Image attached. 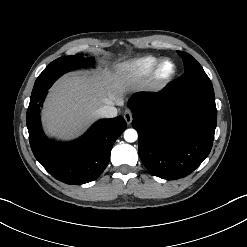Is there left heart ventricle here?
<instances>
[{"mask_svg":"<svg viewBox=\"0 0 247 247\" xmlns=\"http://www.w3.org/2000/svg\"><path fill=\"white\" fill-rule=\"evenodd\" d=\"M173 71V64L171 62H166L162 65L161 70H160V75L162 77H166L170 75Z\"/></svg>","mask_w":247,"mask_h":247,"instance_id":"b2bd125f","label":"left heart ventricle"}]
</instances>
